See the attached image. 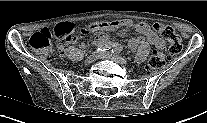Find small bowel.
Instances as JSON below:
<instances>
[{
	"mask_svg": "<svg viewBox=\"0 0 207 123\" xmlns=\"http://www.w3.org/2000/svg\"><path fill=\"white\" fill-rule=\"evenodd\" d=\"M128 29L136 30L141 34L140 37L131 38L128 42V46L131 50H136L140 46H144L146 42L155 47V49L160 50L164 47V41L158 36V34L151 28V26L146 22H135L134 20H118L111 22H94L88 27L81 29V35L85 36L90 32L99 33L95 39L96 44L105 43L108 41V36L104 32L114 31L117 29ZM77 38L73 39L68 43H74ZM60 53L63 55L65 53V43L59 42L57 44Z\"/></svg>",
	"mask_w": 207,
	"mask_h": 123,
	"instance_id": "1",
	"label": "small bowel"
}]
</instances>
